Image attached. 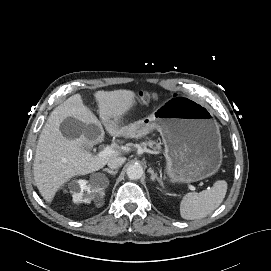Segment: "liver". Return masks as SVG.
Instances as JSON below:
<instances>
[{"instance_id":"6515ba94","label":"liver","mask_w":271,"mask_h":271,"mask_svg":"<svg viewBox=\"0 0 271 271\" xmlns=\"http://www.w3.org/2000/svg\"><path fill=\"white\" fill-rule=\"evenodd\" d=\"M135 96L129 90L98 91L94 94L100 120L110 135L121 137L127 134L128 128L122 126L121 122L133 106ZM69 117L86 125H98L97 119L78 94L68 98L51 113L40 134L33 164L36 186L47 202H52L58 189L72 177L98 171L111 158L125 152L116 150L106 157L89 154L87 149L101 142L103 137L95 141L83 135L76 140L65 138L60 125Z\"/></svg>"}]
</instances>
